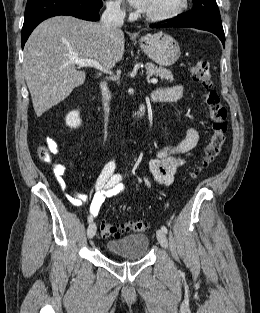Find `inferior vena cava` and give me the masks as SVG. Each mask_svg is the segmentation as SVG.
I'll return each mask as SVG.
<instances>
[{
  "label": "inferior vena cava",
  "mask_w": 260,
  "mask_h": 313,
  "mask_svg": "<svg viewBox=\"0 0 260 313\" xmlns=\"http://www.w3.org/2000/svg\"><path fill=\"white\" fill-rule=\"evenodd\" d=\"M125 12L121 10L120 4L116 2L106 3V10L102 14L101 23L107 30H112L123 25ZM103 97V106L106 114H109V100L111 98L110 91L106 82L100 83Z\"/></svg>",
  "instance_id": "1"
}]
</instances>
